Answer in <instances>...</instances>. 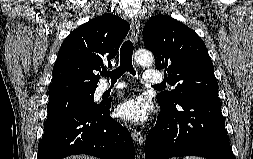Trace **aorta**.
<instances>
[{
	"label": "aorta",
	"mask_w": 253,
	"mask_h": 159,
	"mask_svg": "<svg viewBox=\"0 0 253 159\" xmlns=\"http://www.w3.org/2000/svg\"><path fill=\"white\" fill-rule=\"evenodd\" d=\"M153 55L146 50H139L135 54V61L141 66H149L153 63Z\"/></svg>",
	"instance_id": "1"
}]
</instances>
